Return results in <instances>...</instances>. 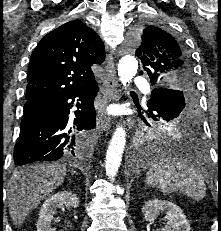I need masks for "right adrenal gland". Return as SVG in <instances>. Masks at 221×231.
<instances>
[{
  "label": "right adrenal gland",
  "mask_w": 221,
  "mask_h": 231,
  "mask_svg": "<svg viewBox=\"0 0 221 231\" xmlns=\"http://www.w3.org/2000/svg\"><path fill=\"white\" fill-rule=\"evenodd\" d=\"M73 174H77L75 171H73Z\"/></svg>",
  "instance_id": "1"
}]
</instances>
